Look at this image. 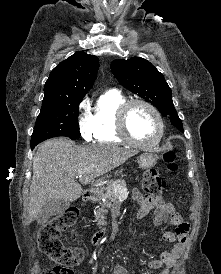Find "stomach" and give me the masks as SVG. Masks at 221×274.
I'll list each match as a JSON object with an SVG mask.
<instances>
[{
	"instance_id": "stomach-1",
	"label": "stomach",
	"mask_w": 221,
	"mask_h": 274,
	"mask_svg": "<svg viewBox=\"0 0 221 274\" xmlns=\"http://www.w3.org/2000/svg\"><path fill=\"white\" fill-rule=\"evenodd\" d=\"M157 162V155L153 152H143L138 157V163L142 168H150L154 166ZM122 171L116 172V174H120Z\"/></svg>"
}]
</instances>
